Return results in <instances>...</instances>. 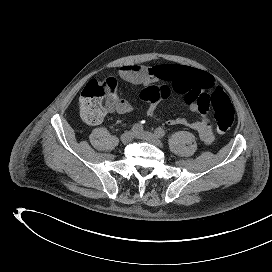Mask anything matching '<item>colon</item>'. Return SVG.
Returning <instances> with one entry per match:
<instances>
[{
    "mask_svg": "<svg viewBox=\"0 0 272 272\" xmlns=\"http://www.w3.org/2000/svg\"><path fill=\"white\" fill-rule=\"evenodd\" d=\"M172 90L169 85H149L141 91L140 98L145 102H159L167 99ZM116 93L117 84L113 79L89 81L79 97L82 119L88 124L101 122L112 107ZM208 105L214 111L217 130L220 133L227 132L234 124L235 111L226 93L216 88L208 95Z\"/></svg>",
    "mask_w": 272,
    "mask_h": 272,
    "instance_id": "5ec220e1",
    "label": "colon"
}]
</instances>
